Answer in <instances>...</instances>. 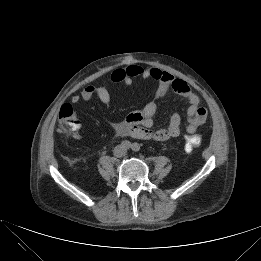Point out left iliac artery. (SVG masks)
Wrapping results in <instances>:
<instances>
[{"mask_svg":"<svg viewBox=\"0 0 261 261\" xmlns=\"http://www.w3.org/2000/svg\"><path fill=\"white\" fill-rule=\"evenodd\" d=\"M139 149H140V146H139V144H137V143H134V144L132 145V150H133V151H135V152H138V151H139Z\"/></svg>","mask_w":261,"mask_h":261,"instance_id":"1","label":"left iliac artery"}]
</instances>
